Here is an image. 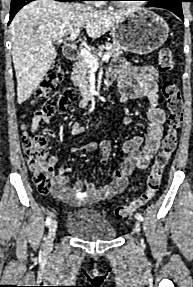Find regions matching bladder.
<instances>
[{"instance_id":"bladder-1","label":"bladder","mask_w":193,"mask_h":287,"mask_svg":"<svg viewBox=\"0 0 193 287\" xmlns=\"http://www.w3.org/2000/svg\"><path fill=\"white\" fill-rule=\"evenodd\" d=\"M66 229L73 236L87 241H107L116 236V229L105 216L88 209L72 212Z\"/></svg>"}]
</instances>
